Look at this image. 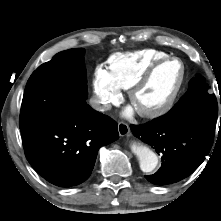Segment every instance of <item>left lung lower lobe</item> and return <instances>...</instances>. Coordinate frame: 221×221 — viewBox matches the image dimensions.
<instances>
[{
    "label": "left lung lower lobe",
    "mask_w": 221,
    "mask_h": 221,
    "mask_svg": "<svg viewBox=\"0 0 221 221\" xmlns=\"http://www.w3.org/2000/svg\"><path fill=\"white\" fill-rule=\"evenodd\" d=\"M215 129L216 121L204 120L162 122L156 118L144 125H132V133L162 156L161 168L145 178L153 184L166 185L192 174L208 155Z\"/></svg>",
    "instance_id": "1"
}]
</instances>
